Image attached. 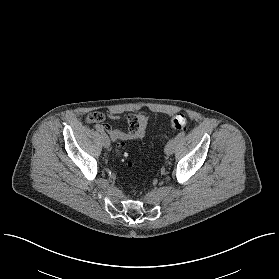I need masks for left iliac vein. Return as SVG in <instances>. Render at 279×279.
<instances>
[{"instance_id": "4c4485c4", "label": "left iliac vein", "mask_w": 279, "mask_h": 279, "mask_svg": "<svg viewBox=\"0 0 279 279\" xmlns=\"http://www.w3.org/2000/svg\"><path fill=\"white\" fill-rule=\"evenodd\" d=\"M176 138L169 141L165 147V154L170 156L173 154L175 146H176Z\"/></svg>"}]
</instances>
